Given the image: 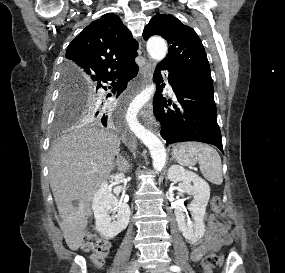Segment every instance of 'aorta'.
Here are the masks:
<instances>
[{
    "instance_id": "762f6f07",
    "label": "aorta",
    "mask_w": 285,
    "mask_h": 273,
    "mask_svg": "<svg viewBox=\"0 0 285 273\" xmlns=\"http://www.w3.org/2000/svg\"><path fill=\"white\" fill-rule=\"evenodd\" d=\"M147 50L155 61H161L167 54V44L160 37H152L147 42ZM155 90V84H151L134 98L128 109L127 122L135 136L148 147L153 160V167L159 172L166 164L164 145L154 133L142 126L137 120V113L151 99Z\"/></svg>"
}]
</instances>
